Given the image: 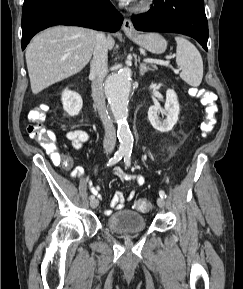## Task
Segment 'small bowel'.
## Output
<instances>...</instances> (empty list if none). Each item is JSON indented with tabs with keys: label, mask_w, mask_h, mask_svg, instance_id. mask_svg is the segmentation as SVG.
Segmentation results:
<instances>
[{
	"label": "small bowel",
	"mask_w": 243,
	"mask_h": 289,
	"mask_svg": "<svg viewBox=\"0 0 243 289\" xmlns=\"http://www.w3.org/2000/svg\"><path fill=\"white\" fill-rule=\"evenodd\" d=\"M66 138L71 141L73 147L75 149H83L85 144L89 142L90 136L87 132L80 130V129H73L66 132ZM114 174L116 177H118L120 180L124 182L134 181L137 185H143L145 182V178L142 175H133L128 172H126L124 169L117 167L114 169ZM74 176L75 177H82V170L80 168H76L74 170ZM90 190L93 194L98 195V197H101L99 194L100 188L98 186H90ZM135 192L131 191L127 196H125L122 192L117 191L114 193L110 206L113 210H120L122 209L127 201H130L134 198ZM112 210H105V214L109 215L111 214Z\"/></svg>",
	"instance_id": "obj_1"
}]
</instances>
